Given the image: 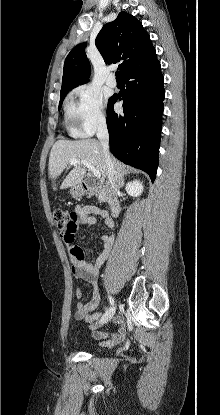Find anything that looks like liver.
I'll list each match as a JSON object with an SVG mask.
<instances>
[{
  "instance_id": "liver-1",
  "label": "liver",
  "mask_w": 220,
  "mask_h": 415,
  "mask_svg": "<svg viewBox=\"0 0 220 415\" xmlns=\"http://www.w3.org/2000/svg\"><path fill=\"white\" fill-rule=\"evenodd\" d=\"M86 160L101 174V182L107 178V168L103 156V148L95 139H82L77 141L58 140L52 147L49 157V178L55 180L70 164V159ZM116 174L125 171L123 163L111 157ZM71 165V164H70ZM86 174L85 166L79 162L69 172L60 188L66 189L82 183ZM56 190V187L53 186Z\"/></svg>"
}]
</instances>
